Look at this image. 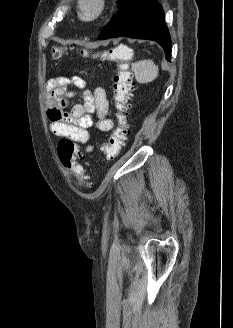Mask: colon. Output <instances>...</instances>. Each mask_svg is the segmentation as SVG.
Wrapping results in <instances>:
<instances>
[{"label": "colon", "mask_w": 233, "mask_h": 328, "mask_svg": "<svg viewBox=\"0 0 233 328\" xmlns=\"http://www.w3.org/2000/svg\"><path fill=\"white\" fill-rule=\"evenodd\" d=\"M66 51L67 47L53 46L51 56L58 59ZM81 53L88 55L85 50H81ZM131 57L132 53L129 49L118 47L109 49L103 55L104 59L111 58L117 61V72L112 84L117 125L109 140L101 146V151L107 160L114 159L120 153L129 134L127 120L134 87L133 73L129 66ZM57 153L62 166L70 171L81 184H86L87 177L81 165L84 155L77 144L70 138L62 137L57 146Z\"/></svg>", "instance_id": "obj_1"}]
</instances>
